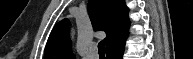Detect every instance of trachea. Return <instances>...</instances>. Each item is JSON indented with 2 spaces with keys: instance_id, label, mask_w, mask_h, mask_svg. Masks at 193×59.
<instances>
[{
  "instance_id": "3493384b",
  "label": "trachea",
  "mask_w": 193,
  "mask_h": 59,
  "mask_svg": "<svg viewBox=\"0 0 193 59\" xmlns=\"http://www.w3.org/2000/svg\"><path fill=\"white\" fill-rule=\"evenodd\" d=\"M98 53H99V55H105V42L104 41L99 42Z\"/></svg>"
}]
</instances>
